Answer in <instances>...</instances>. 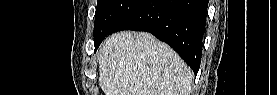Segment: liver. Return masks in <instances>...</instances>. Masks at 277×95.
Instances as JSON below:
<instances>
[{"label":"liver","instance_id":"1","mask_svg":"<svg viewBox=\"0 0 277 95\" xmlns=\"http://www.w3.org/2000/svg\"><path fill=\"white\" fill-rule=\"evenodd\" d=\"M105 95H190L193 72L167 44L147 32L110 36L99 51Z\"/></svg>","mask_w":277,"mask_h":95}]
</instances>
